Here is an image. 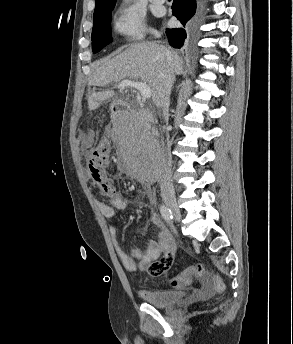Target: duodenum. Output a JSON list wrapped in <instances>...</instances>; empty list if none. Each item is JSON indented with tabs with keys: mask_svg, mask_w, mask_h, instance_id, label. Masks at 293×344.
<instances>
[{
	"mask_svg": "<svg viewBox=\"0 0 293 344\" xmlns=\"http://www.w3.org/2000/svg\"><path fill=\"white\" fill-rule=\"evenodd\" d=\"M125 111L124 107L123 106H116V109L113 111V115L116 117L120 114H122L123 112ZM138 118L147 122V123H152V118L150 116V114H148L147 112H139L137 114ZM129 120L130 121H135L136 118L133 117V116H130L129 117Z\"/></svg>",
	"mask_w": 293,
	"mask_h": 344,
	"instance_id": "410a0bca",
	"label": "duodenum"
}]
</instances>
